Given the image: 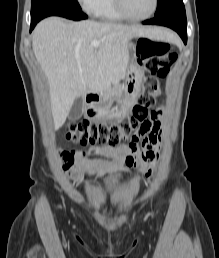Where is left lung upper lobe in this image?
<instances>
[{
	"label": "left lung upper lobe",
	"mask_w": 219,
	"mask_h": 258,
	"mask_svg": "<svg viewBox=\"0 0 219 258\" xmlns=\"http://www.w3.org/2000/svg\"><path fill=\"white\" fill-rule=\"evenodd\" d=\"M168 13H185L182 0H158L155 17Z\"/></svg>",
	"instance_id": "5c2ea615"
}]
</instances>
